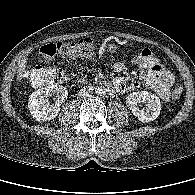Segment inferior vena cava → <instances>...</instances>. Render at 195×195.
<instances>
[{"mask_svg": "<svg viewBox=\"0 0 195 195\" xmlns=\"http://www.w3.org/2000/svg\"><path fill=\"white\" fill-rule=\"evenodd\" d=\"M92 94H93V87L91 86H85L79 92V96L82 98L90 97Z\"/></svg>", "mask_w": 195, "mask_h": 195, "instance_id": "inferior-vena-cava-1", "label": "inferior vena cava"}]
</instances>
